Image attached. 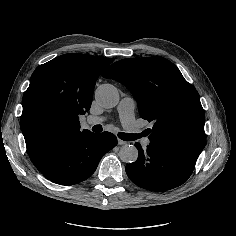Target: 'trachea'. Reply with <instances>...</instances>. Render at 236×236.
I'll use <instances>...</instances> for the list:
<instances>
[{"instance_id": "3493384b", "label": "trachea", "mask_w": 236, "mask_h": 236, "mask_svg": "<svg viewBox=\"0 0 236 236\" xmlns=\"http://www.w3.org/2000/svg\"><path fill=\"white\" fill-rule=\"evenodd\" d=\"M92 131L93 132H102V126L101 125H95V126L92 127ZM118 137L121 140H124V141H133V140H136L138 138H141L142 135H141V133L140 134H130V133L120 132V133H118Z\"/></svg>"}]
</instances>
